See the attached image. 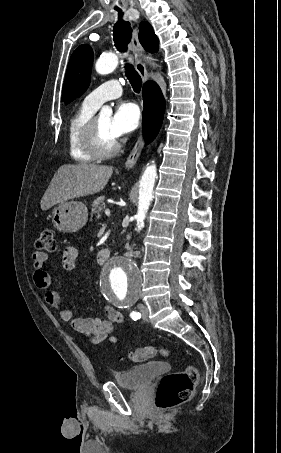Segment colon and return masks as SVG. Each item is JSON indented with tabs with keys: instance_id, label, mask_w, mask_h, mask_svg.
<instances>
[{
	"instance_id": "obj_1",
	"label": "colon",
	"mask_w": 281,
	"mask_h": 453,
	"mask_svg": "<svg viewBox=\"0 0 281 453\" xmlns=\"http://www.w3.org/2000/svg\"><path fill=\"white\" fill-rule=\"evenodd\" d=\"M55 229L45 228L37 241L39 250H54ZM168 350L160 346L144 349H129L123 356L134 363H144L150 359L166 355ZM182 365L180 373L166 374L159 382L156 407L160 412L168 411L181 403L190 400L193 381L197 378L198 370L194 365L179 361Z\"/></svg>"
}]
</instances>
